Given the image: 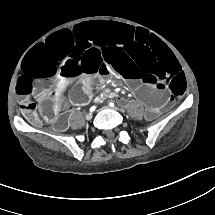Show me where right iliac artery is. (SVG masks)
<instances>
[{
  "label": "right iliac artery",
  "mask_w": 215,
  "mask_h": 215,
  "mask_svg": "<svg viewBox=\"0 0 215 215\" xmlns=\"http://www.w3.org/2000/svg\"><path fill=\"white\" fill-rule=\"evenodd\" d=\"M95 106H92L91 108H90V111L92 112V111H94L95 110Z\"/></svg>",
  "instance_id": "obj_1"
}]
</instances>
